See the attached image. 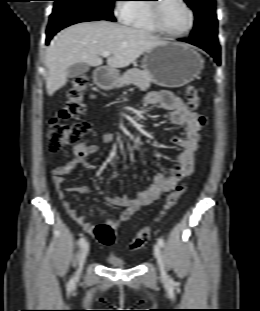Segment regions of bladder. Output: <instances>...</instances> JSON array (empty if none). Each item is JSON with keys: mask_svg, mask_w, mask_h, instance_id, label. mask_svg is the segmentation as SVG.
I'll list each match as a JSON object with an SVG mask.
<instances>
[{"mask_svg": "<svg viewBox=\"0 0 260 311\" xmlns=\"http://www.w3.org/2000/svg\"><path fill=\"white\" fill-rule=\"evenodd\" d=\"M105 260L113 267L123 268L127 266V264L116 254H108Z\"/></svg>", "mask_w": 260, "mask_h": 311, "instance_id": "obj_1", "label": "bladder"}]
</instances>
